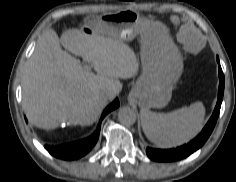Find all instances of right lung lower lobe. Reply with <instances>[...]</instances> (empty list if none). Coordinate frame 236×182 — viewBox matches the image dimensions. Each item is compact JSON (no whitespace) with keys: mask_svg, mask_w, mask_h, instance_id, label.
I'll return each mask as SVG.
<instances>
[{"mask_svg":"<svg viewBox=\"0 0 236 182\" xmlns=\"http://www.w3.org/2000/svg\"><path fill=\"white\" fill-rule=\"evenodd\" d=\"M118 106L119 100L115 99L114 102L106 108L101 119H103L109 112L116 109ZM100 127L101 123H99L97 130L90 137L83 140L59 146L46 145L45 148L50 154L57 158L64 160L78 159L87 154L94 147L99 138Z\"/></svg>","mask_w":236,"mask_h":182,"instance_id":"obj_1","label":"right lung lower lobe"}]
</instances>
